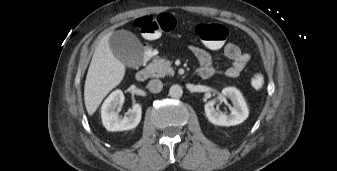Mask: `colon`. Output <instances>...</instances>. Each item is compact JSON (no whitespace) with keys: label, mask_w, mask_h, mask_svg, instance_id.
<instances>
[{"label":"colon","mask_w":337,"mask_h":171,"mask_svg":"<svg viewBox=\"0 0 337 171\" xmlns=\"http://www.w3.org/2000/svg\"><path fill=\"white\" fill-rule=\"evenodd\" d=\"M137 28L146 37L154 38L162 32H169L177 26V19L171 14H159L155 16H143L135 22ZM195 34L199 38V44L203 48L222 49L226 45L228 31L225 26L213 23H199L195 26ZM156 57L153 47H146L140 54L143 64H150ZM265 83L261 70L256 69L251 78V84L255 89H260Z\"/></svg>","instance_id":"colon-1"}]
</instances>
